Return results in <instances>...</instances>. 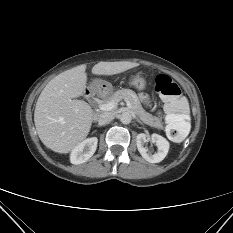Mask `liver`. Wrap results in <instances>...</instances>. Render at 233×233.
Masks as SVG:
<instances>
[{
	"label": "liver",
	"instance_id": "obj_1",
	"mask_svg": "<svg viewBox=\"0 0 233 233\" xmlns=\"http://www.w3.org/2000/svg\"><path fill=\"white\" fill-rule=\"evenodd\" d=\"M139 64L128 61L99 62L94 75H114ZM86 65L66 70L54 77L42 90L34 111V123L42 143L58 153L73 150L90 132L94 112L76 98L86 90Z\"/></svg>",
	"mask_w": 233,
	"mask_h": 233
}]
</instances>
